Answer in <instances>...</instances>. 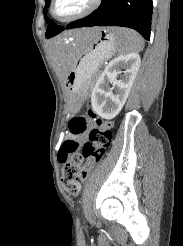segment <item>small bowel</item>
Listing matches in <instances>:
<instances>
[{
  "instance_id": "1",
  "label": "small bowel",
  "mask_w": 183,
  "mask_h": 246,
  "mask_svg": "<svg viewBox=\"0 0 183 246\" xmlns=\"http://www.w3.org/2000/svg\"><path fill=\"white\" fill-rule=\"evenodd\" d=\"M71 131V130H70ZM68 139H72L75 141L83 140L85 136L83 134H74L72 131L71 133L67 136Z\"/></svg>"
}]
</instances>
